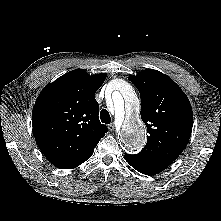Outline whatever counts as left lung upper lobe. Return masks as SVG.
I'll use <instances>...</instances> for the list:
<instances>
[{
  "mask_svg": "<svg viewBox=\"0 0 221 221\" xmlns=\"http://www.w3.org/2000/svg\"><path fill=\"white\" fill-rule=\"evenodd\" d=\"M141 96V118L147 143L137 155L170 165L191 136L193 112L182 89L167 75L146 69L128 78Z\"/></svg>",
  "mask_w": 221,
  "mask_h": 221,
  "instance_id": "left-lung-upper-lobe-1",
  "label": "left lung upper lobe"
}]
</instances>
